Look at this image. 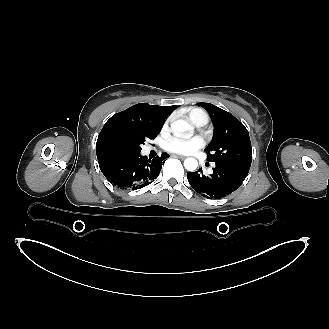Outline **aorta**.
Wrapping results in <instances>:
<instances>
[{
  "label": "aorta",
  "instance_id": "obj_1",
  "mask_svg": "<svg viewBox=\"0 0 329 329\" xmlns=\"http://www.w3.org/2000/svg\"><path fill=\"white\" fill-rule=\"evenodd\" d=\"M171 129L174 133L181 134L186 133L187 137H191L194 133L193 127L185 120H177L171 124ZM184 167L193 172L198 167V162L195 158H187L184 161Z\"/></svg>",
  "mask_w": 329,
  "mask_h": 329
}]
</instances>
